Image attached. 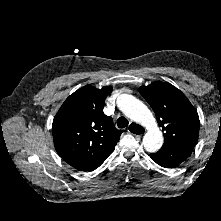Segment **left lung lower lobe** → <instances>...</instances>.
<instances>
[{"label":"left lung lower lobe","instance_id":"obj_1","mask_svg":"<svg viewBox=\"0 0 221 221\" xmlns=\"http://www.w3.org/2000/svg\"><path fill=\"white\" fill-rule=\"evenodd\" d=\"M195 144L186 143L178 146L162 147L158 152L151 153L150 157L162 167L174 168L190 156Z\"/></svg>","mask_w":221,"mask_h":221}]
</instances>
